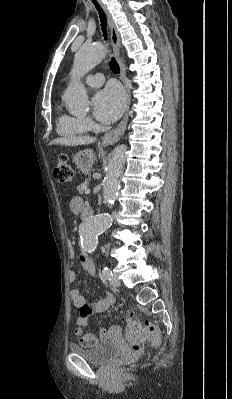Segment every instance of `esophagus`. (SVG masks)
I'll return each instance as SVG.
<instances>
[{
  "mask_svg": "<svg viewBox=\"0 0 232 399\" xmlns=\"http://www.w3.org/2000/svg\"><path fill=\"white\" fill-rule=\"evenodd\" d=\"M98 1H99L100 5L102 6V8L108 18V23H109V28H110V36H111V44H112L114 54L116 56L117 62L119 64V67L121 70L120 78H121L122 82L124 83V85L127 89V92H128V102H127V108H126L124 117L122 118L121 122L119 123V125L116 129L111 130L110 132L106 133L102 137V145L104 147H107L108 145L115 144V142H117L120 139L121 135L126 130L127 123H128V112H129L130 102H131V94H130L128 84L126 82V68H125L124 63L120 56L121 41H120V37H119V32H118L115 22L111 16V13L109 12L105 3H103L102 0H98Z\"/></svg>",
  "mask_w": 232,
  "mask_h": 399,
  "instance_id": "esophagus-1",
  "label": "esophagus"
}]
</instances>
